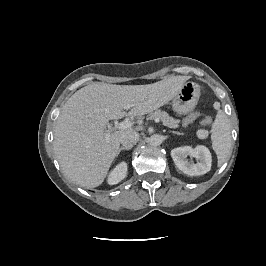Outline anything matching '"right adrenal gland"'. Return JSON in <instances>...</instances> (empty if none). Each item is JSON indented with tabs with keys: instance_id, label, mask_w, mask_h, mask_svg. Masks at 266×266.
I'll use <instances>...</instances> for the list:
<instances>
[{
	"instance_id": "2a0ac1e0",
	"label": "right adrenal gland",
	"mask_w": 266,
	"mask_h": 266,
	"mask_svg": "<svg viewBox=\"0 0 266 266\" xmlns=\"http://www.w3.org/2000/svg\"><path fill=\"white\" fill-rule=\"evenodd\" d=\"M123 150H129V149H127V148H125V147H120V148H119V150H118V153H117V155H119V154H120V152H121V151H123Z\"/></svg>"
}]
</instances>
